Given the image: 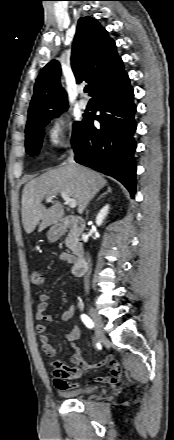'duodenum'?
I'll use <instances>...</instances> for the list:
<instances>
[{"mask_svg":"<svg viewBox=\"0 0 174 440\" xmlns=\"http://www.w3.org/2000/svg\"><path fill=\"white\" fill-rule=\"evenodd\" d=\"M85 228V223L81 218L75 216H66L58 221L54 228V233L58 236L64 235L67 231H71L74 235L81 233ZM75 261L73 264V273L77 277L85 274L87 264L84 259L83 248L80 245L74 247Z\"/></svg>","mask_w":174,"mask_h":440,"instance_id":"410a0bca","label":"duodenum"}]
</instances>
